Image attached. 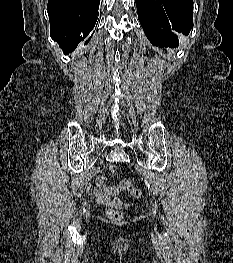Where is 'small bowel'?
Segmentation results:
<instances>
[{
	"instance_id": "obj_1",
	"label": "small bowel",
	"mask_w": 233,
	"mask_h": 263,
	"mask_svg": "<svg viewBox=\"0 0 233 263\" xmlns=\"http://www.w3.org/2000/svg\"><path fill=\"white\" fill-rule=\"evenodd\" d=\"M107 177L98 176L96 179V187L94 189V196L99 204L107 208L120 209L124 207V203L117 197L120 190L117 186H106Z\"/></svg>"
}]
</instances>
